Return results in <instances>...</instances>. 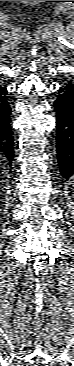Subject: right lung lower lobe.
I'll return each instance as SVG.
<instances>
[{
  "label": "right lung lower lobe",
  "mask_w": 74,
  "mask_h": 366,
  "mask_svg": "<svg viewBox=\"0 0 74 366\" xmlns=\"http://www.w3.org/2000/svg\"><path fill=\"white\" fill-rule=\"evenodd\" d=\"M10 100L7 89L0 86V160L4 159L11 165L14 156V140L10 127Z\"/></svg>",
  "instance_id": "right-lung-lower-lobe-1"
}]
</instances>
